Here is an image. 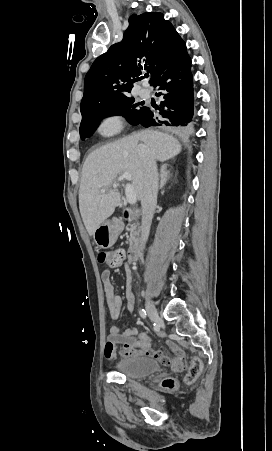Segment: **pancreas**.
<instances>
[{
    "label": "pancreas",
    "mask_w": 272,
    "mask_h": 451,
    "mask_svg": "<svg viewBox=\"0 0 272 451\" xmlns=\"http://www.w3.org/2000/svg\"><path fill=\"white\" fill-rule=\"evenodd\" d=\"M129 227H127V231H130V237L129 239V245L130 247H133V245H138L139 239H140V227L138 224H128ZM118 231L121 233L124 224L122 222H118Z\"/></svg>",
    "instance_id": "1"
}]
</instances>
